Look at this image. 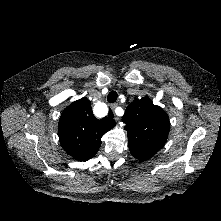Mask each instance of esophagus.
<instances>
[{
    "mask_svg": "<svg viewBox=\"0 0 221 221\" xmlns=\"http://www.w3.org/2000/svg\"><path fill=\"white\" fill-rule=\"evenodd\" d=\"M118 106L117 103H113L110 105V110L111 112L114 114V119L115 121H118L119 120V117L115 114V108Z\"/></svg>",
    "mask_w": 221,
    "mask_h": 221,
    "instance_id": "34e87169",
    "label": "esophagus"
}]
</instances>
